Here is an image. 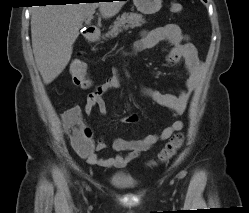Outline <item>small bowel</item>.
I'll use <instances>...</instances> for the list:
<instances>
[{"label":"small bowel","mask_w":249,"mask_h":213,"mask_svg":"<svg viewBox=\"0 0 249 213\" xmlns=\"http://www.w3.org/2000/svg\"><path fill=\"white\" fill-rule=\"evenodd\" d=\"M163 41L171 46L168 61L171 63L184 62L185 86L177 94L163 93L152 88L143 87L141 95L172 111L175 119L170 125L163 127L157 134H149L143 138L132 140L115 138L112 148L117 154L112 157L99 155L100 152L107 149V144L105 139L100 137L95 147L93 146V132L84 121L82 112L90 114L96 108L99 114H106L105 94L112 89L119 88L121 85L119 75L117 73L113 74L88 94L83 109L80 106H74L66 110L62 115L65 130L70 133L74 129L80 137L81 144L78 145L75 134H70L72 147L89 164L107 168H123L138 158L141 153L148 151L157 142L169 139L175 132L184 128V122L177 119V117L185 111L190 97L197 86L201 72V61L194 44L178 25L167 24L145 31L141 39L132 46L131 53L135 55L151 49ZM120 121L122 123H135L137 122V116L129 115L121 118Z\"/></svg>","instance_id":"obj_1"}]
</instances>
